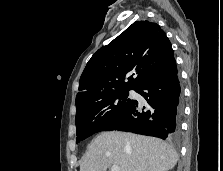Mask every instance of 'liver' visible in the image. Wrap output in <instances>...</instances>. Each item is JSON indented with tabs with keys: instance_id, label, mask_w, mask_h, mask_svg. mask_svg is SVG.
Segmentation results:
<instances>
[{
	"instance_id": "6515ba94",
	"label": "liver",
	"mask_w": 223,
	"mask_h": 171,
	"mask_svg": "<svg viewBox=\"0 0 223 171\" xmlns=\"http://www.w3.org/2000/svg\"><path fill=\"white\" fill-rule=\"evenodd\" d=\"M178 161L175 149L165 141L120 131L103 132L92 140L80 171H169Z\"/></svg>"
}]
</instances>
